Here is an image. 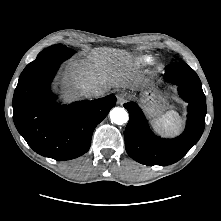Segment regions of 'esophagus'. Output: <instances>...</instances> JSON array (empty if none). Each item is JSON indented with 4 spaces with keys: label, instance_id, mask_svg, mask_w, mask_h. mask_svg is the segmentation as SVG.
Segmentation results:
<instances>
[{
    "label": "esophagus",
    "instance_id": "obj_1",
    "mask_svg": "<svg viewBox=\"0 0 221 221\" xmlns=\"http://www.w3.org/2000/svg\"><path fill=\"white\" fill-rule=\"evenodd\" d=\"M130 95L128 94V92L126 91H120L117 94V100L120 104L124 103L125 101H127L129 99Z\"/></svg>",
    "mask_w": 221,
    "mask_h": 221
}]
</instances>
